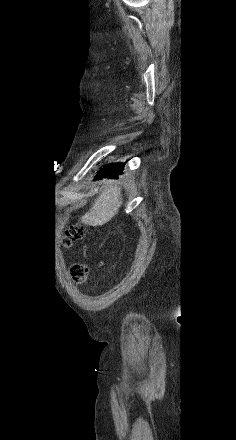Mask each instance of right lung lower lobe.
Wrapping results in <instances>:
<instances>
[{"label": "right lung lower lobe", "mask_w": 236, "mask_h": 440, "mask_svg": "<svg viewBox=\"0 0 236 440\" xmlns=\"http://www.w3.org/2000/svg\"><path fill=\"white\" fill-rule=\"evenodd\" d=\"M124 168L123 163H114L104 167L97 174V178H114L117 179L118 175L122 174Z\"/></svg>", "instance_id": "obj_1"}]
</instances>
